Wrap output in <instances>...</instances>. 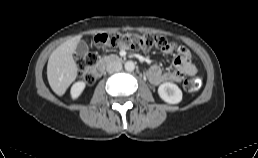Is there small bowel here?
Here are the masks:
<instances>
[{"label":"small bowel","mask_w":258,"mask_h":158,"mask_svg":"<svg viewBox=\"0 0 258 158\" xmlns=\"http://www.w3.org/2000/svg\"><path fill=\"white\" fill-rule=\"evenodd\" d=\"M177 52L178 55L173 59L175 70L163 71L158 65H153L149 68L147 76L152 84L159 85L164 82H181L184 76L197 74V68L191 61L190 51L186 47L180 46Z\"/></svg>","instance_id":"small-bowel-1"}]
</instances>
